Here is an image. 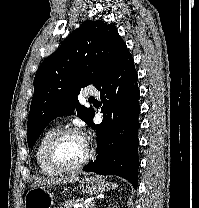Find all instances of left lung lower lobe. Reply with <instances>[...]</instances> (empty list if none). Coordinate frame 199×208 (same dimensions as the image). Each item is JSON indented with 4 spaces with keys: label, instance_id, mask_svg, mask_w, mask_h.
<instances>
[{
    "label": "left lung lower lobe",
    "instance_id": "1",
    "mask_svg": "<svg viewBox=\"0 0 199 208\" xmlns=\"http://www.w3.org/2000/svg\"><path fill=\"white\" fill-rule=\"evenodd\" d=\"M138 75L132 56L97 87L102 102L103 121L89 126L96 129L97 153L94 162L83 170L102 175H117L127 179L137 189L138 184V116L140 113Z\"/></svg>",
    "mask_w": 199,
    "mask_h": 208
}]
</instances>
